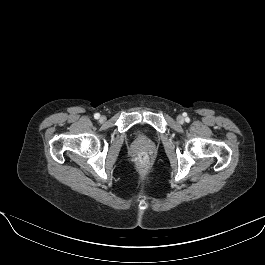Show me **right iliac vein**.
<instances>
[{"instance_id": "1", "label": "right iliac vein", "mask_w": 265, "mask_h": 265, "mask_svg": "<svg viewBox=\"0 0 265 265\" xmlns=\"http://www.w3.org/2000/svg\"><path fill=\"white\" fill-rule=\"evenodd\" d=\"M104 119H105V117H103V116L100 118L101 121H104Z\"/></svg>"}]
</instances>
